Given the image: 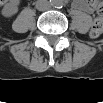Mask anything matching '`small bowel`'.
Returning <instances> with one entry per match:
<instances>
[{"label": "small bowel", "instance_id": "obj_1", "mask_svg": "<svg viewBox=\"0 0 103 103\" xmlns=\"http://www.w3.org/2000/svg\"><path fill=\"white\" fill-rule=\"evenodd\" d=\"M78 8L88 12V13H92V7H91V3L88 2V3H85V2H80L78 3Z\"/></svg>", "mask_w": 103, "mask_h": 103}]
</instances>
